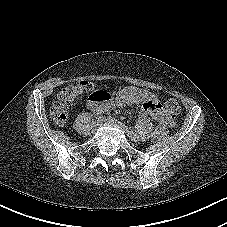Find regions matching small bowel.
Masks as SVG:
<instances>
[{
  "instance_id": "c3829d8e",
  "label": "small bowel",
  "mask_w": 227,
  "mask_h": 227,
  "mask_svg": "<svg viewBox=\"0 0 227 227\" xmlns=\"http://www.w3.org/2000/svg\"><path fill=\"white\" fill-rule=\"evenodd\" d=\"M111 103H114L117 106L140 104L142 106L143 114L151 115L154 119L162 124H172V120L168 119L156 95L147 90L136 87H126L120 90L116 94L114 100L110 102H104L92 98L90 101V107L94 113H97L102 112L103 109Z\"/></svg>"
}]
</instances>
